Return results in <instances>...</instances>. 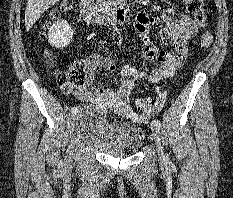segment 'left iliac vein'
<instances>
[{
    "instance_id": "4c4485c4",
    "label": "left iliac vein",
    "mask_w": 233,
    "mask_h": 198,
    "mask_svg": "<svg viewBox=\"0 0 233 198\" xmlns=\"http://www.w3.org/2000/svg\"><path fill=\"white\" fill-rule=\"evenodd\" d=\"M151 131H152V136L154 140L156 141L157 147H158V156L161 161L165 160V155L162 151V146H161V138H160V130L158 127L151 125Z\"/></svg>"
}]
</instances>
